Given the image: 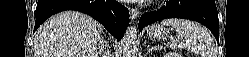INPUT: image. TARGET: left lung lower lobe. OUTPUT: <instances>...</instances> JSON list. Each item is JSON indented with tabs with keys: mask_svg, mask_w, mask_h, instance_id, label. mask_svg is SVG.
Listing matches in <instances>:
<instances>
[{
	"mask_svg": "<svg viewBox=\"0 0 249 57\" xmlns=\"http://www.w3.org/2000/svg\"><path fill=\"white\" fill-rule=\"evenodd\" d=\"M166 18H184L200 22L209 28L219 42V20L215 0H166L160 10L146 12L141 16L139 31L151 23Z\"/></svg>",
	"mask_w": 249,
	"mask_h": 57,
	"instance_id": "left-lung-lower-lobe-1",
	"label": "left lung lower lobe"
}]
</instances>
